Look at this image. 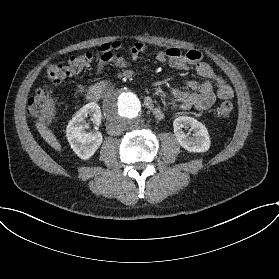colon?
Segmentation results:
<instances>
[{"label": "colon", "mask_w": 279, "mask_h": 279, "mask_svg": "<svg viewBox=\"0 0 279 279\" xmlns=\"http://www.w3.org/2000/svg\"><path fill=\"white\" fill-rule=\"evenodd\" d=\"M92 62V55L82 53L70 56L66 62H52L46 67V75L50 83L60 85L69 77L83 73ZM29 113L42 123H49L55 113L56 102L53 90L49 87L37 90L29 100ZM233 104L230 100H221L217 105V115L221 120L230 118Z\"/></svg>", "instance_id": "1"}]
</instances>
